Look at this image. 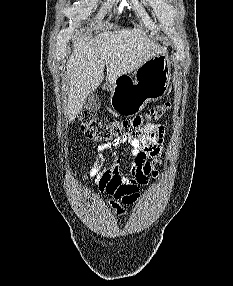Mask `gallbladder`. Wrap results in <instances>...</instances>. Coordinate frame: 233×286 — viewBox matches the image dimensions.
Wrapping results in <instances>:
<instances>
[{
  "label": "gallbladder",
  "instance_id": "gallbladder-1",
  "mask_svg": "<svg viewBox=\"0 0 233 286\" xmlns=\"http://www.w3.org/2000/svg\"><path fill=\"white\" fill-rule=\"evenodd\" d=\"M101 106L100 99L97 94L94 92L89 93L85 97L84 101V107L86 109L92 110V111H97Z\"/></svg>",
  "mask_w": 233,
  "mask_h": 286
}]
</instances>
